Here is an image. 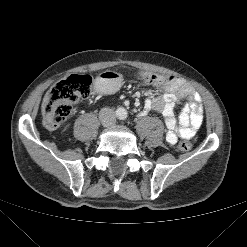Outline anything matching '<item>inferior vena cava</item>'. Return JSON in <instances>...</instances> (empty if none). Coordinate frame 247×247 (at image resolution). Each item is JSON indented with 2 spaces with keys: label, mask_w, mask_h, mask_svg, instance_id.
Returning <instances> with one entry per match:
<instances>
[{
  "label": "inferior vena cava",
  "mask_w": 247,
  "mask_h": 247,
  "mask_svg": "<svg viewBox=\"0 0 247 247\" xmlns=\"http://www.w3.org/2000/svg\"><path fill=\"white\" fill-rule=\"evenodd\" d=\"M99 119L104 125H113L116 121V114L111 108H102L99 111Z\"/></svg>",
  "instance_id": "1"
}]
</instances>
